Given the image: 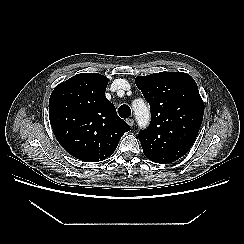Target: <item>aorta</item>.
Wrapping results in <instances>:
<instances>
[{"instance_id": "762f6f07", "label": "aorta", "mask_w": 244, "mask_h": 244, "mask_svg": "<svg viewBox=\"0 0 244 244\" xmlns=\"http://www.w3.org/2000/svg\"><path fill=\"white\" fill-rule=\"evenodd\" d=\"M139 105L134 107V112L136 115V119L138 121V124L143 127L148 124L150 114L147 106L143 101H139Z\"/></svg>"}]
</instances>
